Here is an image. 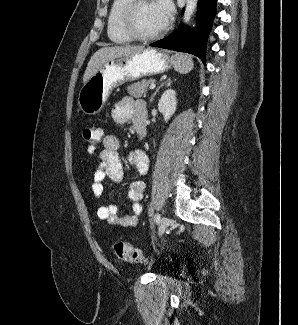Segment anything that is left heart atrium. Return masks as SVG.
Listing matches in <instances>:
<instances>
[{
  "label": "left heart atrium",
  "mask_w": 298,
  "mask_h": 325,
  "mask_svg": "<svg viewBox=\"0 0 298 325\" xmlns=\"http://www.w3.org/2000/svg\"><path fill=\"white\" fill-rule=\"evenodd\" d=\"M173 10H174L173 6L169 1H164L160 3V11H161L163 27L167 26V24L169 23V20L173 15Z\"/></svg>",
  "instance_id": "left-heart-atrium-1"
}]
</instances>
